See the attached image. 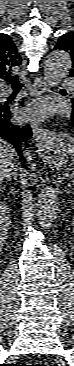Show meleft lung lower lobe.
I'll return each mask as SVG.
<instances>
[{"mask_svg": "<svg viewBox=\"0 0 74 366\" xmlns=\"http://www.w3.org/2000/svg\"><path fill=\"white\" fill-rule=\"evenodd\" d=\"M71 117H72V123L74 124V98L72 99V114H71Z\"/></svg>", "mask_w": 74, "mask_h": 366, "instance_id": "left-lung-lower-lobe-1", "label": "left lung lower lobe"}]
</instances>
